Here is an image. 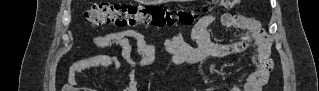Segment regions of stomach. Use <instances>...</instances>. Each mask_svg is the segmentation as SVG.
I'll use <instances>...</instances> for the list:
<instances>
[{
  "label": "stomach",
  "mask_w": 319,
  "mask_h": 91,
  "mask_svg": "<svg viewBox=\"0 0 319 91\" xmlns=\"http://www.w3.org/2000/svg\"><path fill=\"white\" fill-rule=\"evenodd\" d=\"M164 1L165 0H142L144 4H157V3H162Z\"/></svg>",
  "instance_id": "obj_1"
}]
</instances>
